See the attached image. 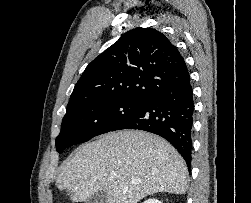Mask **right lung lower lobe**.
Here are the masks:
<instances>
[{
	"mask_svg": "<svg viewBox=\"0 0 251 203\" xmlns=\"http://www.w3.org/2000/svg\"><path fill=\"white\" fill-rule=\"evenodd\" d=\"M194 100L187 73L178 82L149 97L136 112L118 123L111 131L139 129L168 140L190 167L192 159Z\"/></svg>",
	"mask_w": 251,
	"mask_h": 203,
	"instance_id": "1",
	"label": "right lung lower lobe"
}]
</instances>
